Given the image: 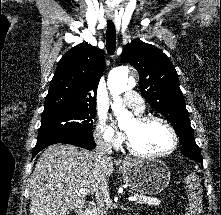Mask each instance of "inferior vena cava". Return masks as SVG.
I'll return each mask as SVG.
<instances>
[{"instance_id":"602c4592","label":"inferior vena cava","mask_w":221,"mask_h":215,"mask_svg":"<svg viewBox=\"0 0 221 215\" xmlns=\"http://www.w3.org/2000/svg\"><path fill=\"white\" fill-rule=\"evenodd\" d=\"M112 154V145L110 142L103 141L98 139L96 141V155L98 157V161L108 158L109 155ZM95 197L98 204H102L104 199L108 197V181L106 179L100 178L97 181L95 187Z\"/></svg>"}]
</instances>
